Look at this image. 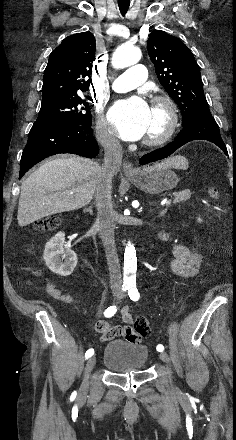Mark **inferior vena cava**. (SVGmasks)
Instances as JSON below:
<instances>
[{
    "label": "inferior vena cava",
    "instance_id": "602c4592",
    "mask_svg": "<svg viewBox=\"0 0 236 440\" xmlns=\"http://www.w3.org/2000/svg\"><path fill=\"white\" fill-rule=\"evenodd\" d=\"M99 141L104 147L105 154L104 165L101 168L95 192L97 207L96 224L105 248L111 288L120 289L122 277L114 239L115 223L113 219L111 180L121 166L123 149L120 141L108 132L102 133L99 136Z\"/></svg>",
    "mask_w": 236,
    "mask_h": 440
}]
</instances>
